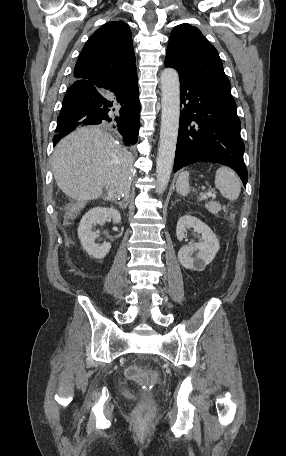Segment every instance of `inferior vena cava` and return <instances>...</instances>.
<instances>
[{
    "label": "inferior vena cava",
    "instance_id": "1",
    "mask_svg": "<svg viewBox=\"0 0 286 456\" xmlns=\"http://www.w3.org/2000/svg\"><path fill=\"white\" fill-rule=\"evenodd\" d=\"M128 191H129V190H128ZM128 191L125 192V194H126L125 198H127V196H128Z\"/></svg>",
    "mask_w": 286,
    "mask_h": 456
}]
</instances>
